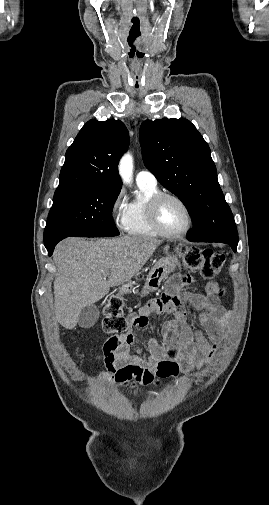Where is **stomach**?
Listing matches in <instances>:
<instances>
[{"instance_id": "1", "label": "stomach", "mask_w": 269, "mask_h": 505, "mask_svg": "<svg viewBox=\"0 0 269 505\" xmlns=\"http://www.w3.org/2000/svg\"><path fill=\"white\" fill-rule=\"evenodd\" d=\"M177 265L179 260L176 256H167L157 261L147 275L143 292L148 294L157 290L162 280L173 272Z\"/></svg>"}]
</instances>
